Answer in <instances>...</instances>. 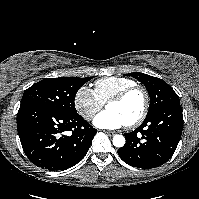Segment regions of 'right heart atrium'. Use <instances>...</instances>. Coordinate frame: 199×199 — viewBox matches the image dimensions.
Instances as JSON below:
<instances>
[{
    "instance_id": "obj_1",
    "label": "right heart atrium",
    "mask_w": 199,
    "mask_h": 199,
    "mask_svg": "<svg viewBox=\"0 0 199 199\" xmlns=\"http://www.w3.org/2000/svg\"><path fill=\"white\" fill-rule=\"evenodd\" d=\"M74 105L78 113L90 121L103 108L104 104L88 86H81L75 93Z\"/></svg>"
}]
</instances>
